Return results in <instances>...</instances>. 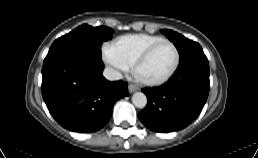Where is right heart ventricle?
<instances>
[{"instance_id":"obj_1","label":"right heart ventricle","mask_w":258,"mask_h":158,"mask_svg":"<svg viewBox=\"0 0 258 158\" xmlns=\"http://www.w3.org/2000/svg\"><path fill=\"white\" fill-rule=\"evenodd\" d=\"M161 40L162 37L139 35L121 38L112 46L127 66H133L148 48Z\"/></svg>"}]
</instances>
